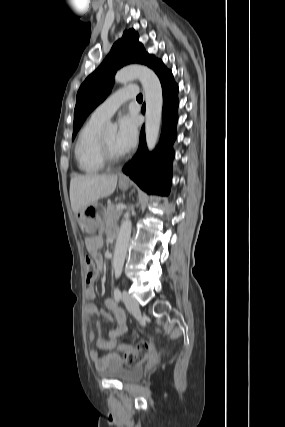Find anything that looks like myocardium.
Masks as SVG:
<instances>
[{
  "instance_id": "myocardium-1",
  "label": "myocardium",
  "mask_w": 285,
  "mask_h": 427,
  "mask_svg": "<svg viewBox=\"0 0 285 427\" xmlns=\"http://www.w3.org/2000/svg\"><path fill=\"white\" fill-rule=\"evenodd\" d=\"M98 152L99 157L104 165H113L117 164L125 159V155H115L110 150L109 146L106 143V140L104 138V134L100 135L99 142H98Z\"/></svg>"
}]
</instances>
